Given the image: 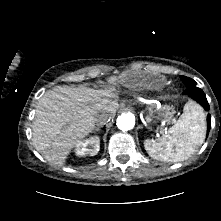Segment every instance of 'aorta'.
I'll use <instances>...</instances> for the list:
<instances>
[{"label":"aorta","mask_w":221,"mask_h":221,"mask_svg":"<svg viewBox=\"0 0 221 221\" xmlns=\"http://www.w3.org/2000/svg\"><path fill=\"white\" fill-rule=\"evenodd\" d=\"M117 127L122 131H128L134 128L135 117L131 113H124L117 118Z\"/></svg>","instance_id":"aorta-1"}]
</instances>
